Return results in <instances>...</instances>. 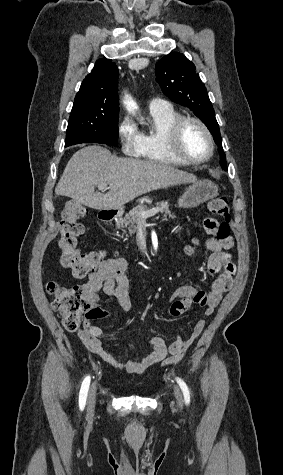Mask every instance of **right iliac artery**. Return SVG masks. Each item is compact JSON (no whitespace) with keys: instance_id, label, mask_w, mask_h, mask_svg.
Instances as JSON below:
<instances>
[{"instance_id":"1","label":"right iliac artery","mask_w":283,"mask_h":475,"mask_svg":"<svg viewBox=\"0 0 283 475\" xmlns=\"http://www.w3.org/2000/svg\"><path fill=\"white\" fill-rule=\"evenodd\" d=\"M89 385H90V376H87L82 383L80 393H79L80 410H83L85 407Z\"/></svg>"}]
</instances>
